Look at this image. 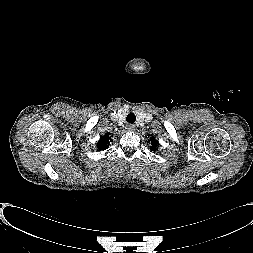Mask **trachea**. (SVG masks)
<instances>
[{
  "label": "trachea",
  "mask_w": 253,
  "mask_h": 253,
  "mask_svg": "<svg viewBox=\"0 0 253 253\" xmlns=\"http://www.w3.org/2000/svg\"><path fill=\"white\" fill-rule=\"evenodd\" d=\"M127 122L133 124L136 120V116L134 115V113H129L127 115V118H126Z\"/></svg>",
  "instance_id": "1"
}]
</instances>
